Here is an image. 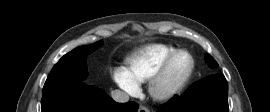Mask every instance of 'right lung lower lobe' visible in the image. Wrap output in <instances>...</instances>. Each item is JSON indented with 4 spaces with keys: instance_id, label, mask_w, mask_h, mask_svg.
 Segmentation results:
<instances>
[{
    "instance_id": "1",
    "label": "right lung lower lobe",
    "mask_w": 270,
    "mask_h": 112,
    "mask_svg": "<svg viewBox=\"0 0 270 112\" xmlns=\"http://www.w3.org/2000/svg\"><path fill=\"white\" fill-rule=\"evenodd\" d=\"M42 112H137L135 102L116 103L102 89L81 81L45 82Z\"/></svg>"
}]
</instances>
